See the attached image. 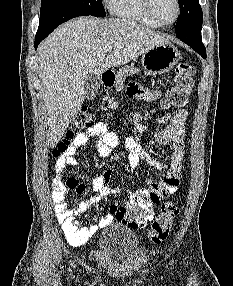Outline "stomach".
<instances>
[{
	"label": "stomach",
	"mask_w": 233,
	"mask_h": 286,
	"mask_svg": "<svg viewBox=\"0 0 233 286\" xmlns=\"http://www.w3.org/2000/svg\"><path fill=\"white\" fill-rule=\"evenodd\" d=\"M180 53L170 42L156 45L142 56L145 73L151 76L169 72L178 62Z\"/></svg>",
	"instance_id": "1"
}]
</instances>
